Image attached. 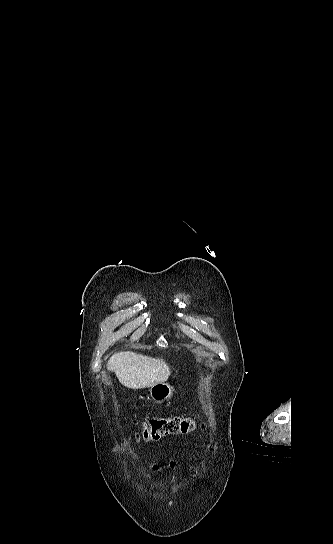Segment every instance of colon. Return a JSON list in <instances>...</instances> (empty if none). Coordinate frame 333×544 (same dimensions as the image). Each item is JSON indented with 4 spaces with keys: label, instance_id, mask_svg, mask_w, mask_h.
Segmentation results:
<instances>
[{
    "label": "colon",
    "instance_id": "1",
    "mask_svg": "<svg viewBox=\"0 0 333 544\" xmlns=\"http://www.w3.org/2000/svg\"><path fill=\"white\" fill-rule=\"evenodd\" d=\"M137 438L150 442L169 435L188 434L197 428V423L190 417L155 418L135 424Z\"/></svg>",
    "mask_w": 333,
    "mask_h": 544
}]
</instances>
